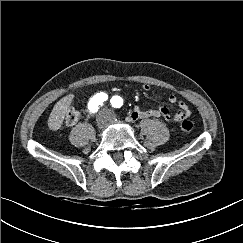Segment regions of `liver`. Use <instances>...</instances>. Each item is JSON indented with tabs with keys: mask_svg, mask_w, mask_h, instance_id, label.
<instances>
[{
	"mask_svg": "<svg viewBox=\"0 0 243 243\" xmlns=\"http://www.w3.org/2000/svg\"><path fill=\"white\" fill-rule=\"evenodd\" d=\"M74 98L73 94H69L62 99H60L53 107L50 116L48 118V127L56 131L58 130L63 123L66 113L69 110V107Z\"/></svg>",
	"mask_w": 243,
	"mask_h": 243,
	"instance_id": "1",
	"label": "liver"
}]
</instances>
